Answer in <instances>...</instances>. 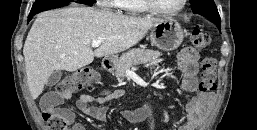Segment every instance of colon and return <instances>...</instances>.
Returning a JSON list of instances; mask_svg holds the SVG:
<instances>
[{
	"label": "colon",
	"mask_w": 257,
	"mask_h": 130,
	"mask_svg": "<svg viewBox=\"0 0 257 130\" xmlns=\"http://www.w3.org/2000/svg\"><path fill=\"white\" fill-rule=\"evenodd\" d=\"M193 45L198 49H203L209 44V36L199 28H195L191 33ZM99 76L93 68H84L64 77L57 85L56 91L62 96H70L79 89H92L97 83ZM216 89V64L211 57H204L201 60V77L199 90L202 93H210ZM43 119L50 130H69L68 118L57 112L46 111Z\"/></svg>",
	"instance_id": "obj_1"
}]
</instances>
